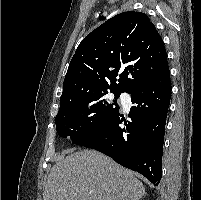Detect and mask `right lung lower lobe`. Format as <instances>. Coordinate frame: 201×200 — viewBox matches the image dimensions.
Returning a JSON list of instances; mask_svg holds the SVG:
<instances>
[{
  "label": "right lung lower lobe",
  "mask_w": 201,
  "mask_h": 200,
  "mask_svg": "<svg viewBox=\"0 0 201 200\" xmlns=\"http://www.w3.org/2000/svg\"><path fill=\"white\" fill-rule=\"evenodd\" d=\"M130 94L135 104L128 114L131 121H124L118 110L98 128L72 143L96 149L158 185L162 176L165 123L171 98L170 71L140 85ZM123 122L125 127H121Z\"/></svg>",
  "instance_id": "obj_1"
}]
</instances>
